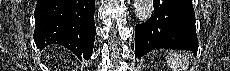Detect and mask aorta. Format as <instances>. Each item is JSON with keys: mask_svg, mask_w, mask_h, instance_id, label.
<instances>
[{"mask_svg": "<svg viewBox=\"0 0 230 71\" xmlns=\"http://www.w3.org/2000/svg\"><path fill=\"white\" fill-rule=\"evenodd\" d=\"M136 17L141 22H146L150 19L153 13L152 0H135L134 1Z\"/></svg>", "mask_w": 230, "mask_h": 71, "instance_id": "762f6f07", "label": "aorta"}]
</instances>
